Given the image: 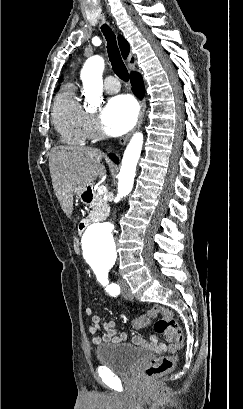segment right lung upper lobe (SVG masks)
Masks as SVG:
<instances>
[{"instance_id":"1","label":"right lung upper lobe","mask_w":243,"mask_h":409,"mask_svg":"<svg viewBox=\"0 0 243 409\" xmlns=\"http://www.w3.org/2000/svg\"><path fill=\"white\" fill-rule=\"evenodd\" d=\"M118 42H119V47L122 53L123 58H127L129 51H130V47L129 44L127 43V41L122 37V36H118ZM61 80H59L60 82Z\"/></svg>"}]
</instances>
